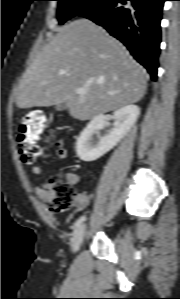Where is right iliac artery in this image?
<instances>
[{"label": "right iliac artery", "mask_w": 180, "mask_h": 299, "mask_svg": "<svg viewBox=\"0 0 180 299\" xmlns=\"http://www.w3.org/2000/svg\"><path fill=\"white\" fill-rule=\"evenodd\" d=\"M85 218H86V216L83 215V216H81V217L75 222L74 227H73L74 232H75V231L78 229V227L83 223V221L85 220Z\"/></svg>", "instance_id": "right-iliac-artery-1"}]
</instances>
